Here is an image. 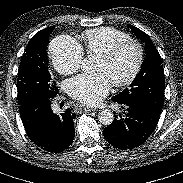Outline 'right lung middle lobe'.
Listing matches in <instances>:
<instances>
[{
	"label": "right lung middle lobe",
	"instance_id": "dd1d6c3e",
	"mask_svg": "<svg viewBox=\"0 0 183 183\" xmlns=\"http://www.w3.org/2000/svg\"><path fill=\"white\" fill-rule=\"evenodd\" d=\"M53 29L49 27L36 33L21 57L17 78L19 105L34 96L54 98L58 93L56 83L49 73L46 53Z\"/></svg>",
	"mask_w": 183,
	"mask_h": 183
}]
</instances>
